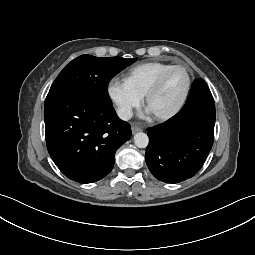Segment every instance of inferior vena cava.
Returning <instances> with one entry per match:
<instances>
[{
  "label": "inferior vena cava",
  "instance_id": "1",
  "mask_svg": "<svg viewBox=\"0 0 255 255\" xmlns=\"http://www.w3.org/2000/svg\"><path fill=\"white\" fill-rule=\"evenodd\" d=\"M117 115L120 119L127 121L132 118L133 113L130 109L120 108L117 110Z\"/></svg>",
  "mask_w": 255,
  "mask_h": 255
}]
</instances>
